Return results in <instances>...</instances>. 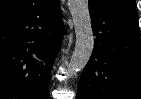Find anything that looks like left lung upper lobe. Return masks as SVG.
I'll return each instance as SVG.
<instances>
[{
    "label": "left lung upper lobe",
    "mask_w": 141,
    "mask_h": 99,
    "mask_svg": "<svg viewBox=\"0 0 141 99\" xmlns=\"http://www.w3.org/2000/svg\"><path fill=\"white\" fill-rule=\"evenodd\" d=\"M116 8H135V0H93Z\"/></svg>",
    "instance_id": "left-lung-upper-lobe-1"
}]
</instances>
